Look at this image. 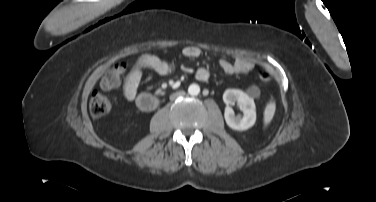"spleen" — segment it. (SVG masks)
<instances>
[{
	"label": "spleen",
	"instance_id": "1",
	"mask_svg": "<svg viewBox=\"0 0 376 202\" xmlns=\"http://www.w3.org/2000/svg\"><path fill=\"white\" fill-rule=\"evenodd\" d=\"M274 112H275V103L272 102V103H269L265 109V113H264V120H265V123H268L271 121L273 115H274Z\"/></svg>",
	"mask_w": 376,
	"mask_h": 202
}]
</instances>
